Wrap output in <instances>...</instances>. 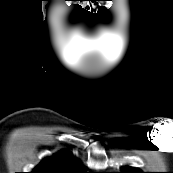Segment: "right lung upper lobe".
Wrapping results in <instances>:
<instances>
[{"label":"right lung upper lobe","instance_id":"1","mask_svg":"<svg viewBox=\"0 0 173 173\" xmlns=\"http://www.w3.org/2000/svg\"><path fill=\"white\" fill-rule=\"evenodd\" d=\"M31 173H86L84 167L73 156L60 152L47 157Z\"/></svg>","mask_w":173,"mask_h":173}]
</instances>
